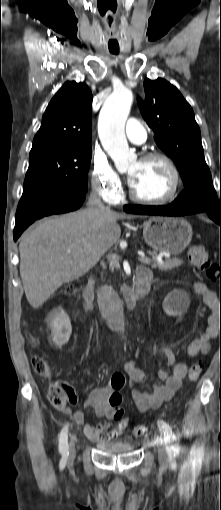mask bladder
Wrapping results in <instances>:
<instances>
[{"label":"bladder","mask_w":221,"mask_h":510,"mask_svg":"<svg viewBox=\"0 0 221 510\" xmlns=\"http://www.w3.org/2000/svg\"><path fill=\"white\" fill-rule=\"evenodd\" d=\"M98 448L102 451H106L113 454L126 453L133 450L134 445L129 442L117 441L111 443L99 442Z\"/></svg>","instance_id":"1"}]
</instances>
